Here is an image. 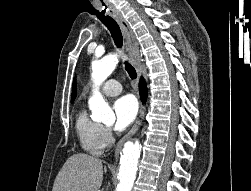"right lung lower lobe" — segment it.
Listing matches in <instances>:
<instances>
[{"instance_id":"98d812e1","label":"right lung lower lobe","mask_w":251,"mask_h":191,"mask_svg":"<svg viewBox=\"0 0 251 191\" xmlns=\"http://www.w3.org/2000/svg\"><path fill=\"white\" fill-rule=\"evenodd\" d=\"M139 91L141 95V100L145 102L146 96H147V88H146V83L143 78L141 79L140 84H139Z\"/></svg>"}]
</instances>
